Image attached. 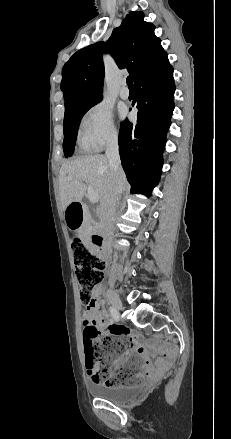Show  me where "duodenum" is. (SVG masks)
<instances>
[{"label":"duodenum","mask_w":231,"mask_h":439,"mask_svg":"<svg viewBox=\"0 0 231 439\" xmlns=\"http://www.w3.org/2000/svg\"><path fill=\"white\" fill-rule=\"evenodd\" d=\"M83 210H84V206L82 204L81 201L77 202V203H73L69 206V217L71 218V221L73 222L74 220H81L82 219V214H83ZM91 245L92 247L99 251V252H103L104 248H103V236L99 233H94L91 238Z\"/></svg>","instance_id":"410a0bca"}]
</instances>
